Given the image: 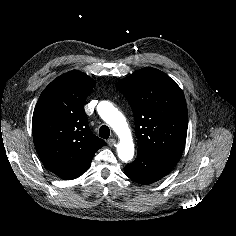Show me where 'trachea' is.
Instances as JSON below:
<instances>
[{"label": "trachea", "instance_id": "obj_1", "mask_svg": "<svg viewBox=\"0 0 236 236\" xmlns=\"http://www.w3.org/2000/svg\"><path fill=\"white\" fill-rule=\"evenodd\" d=\"M99 136L103 139H108L110 136V129L106 125H102L99 129Z\"/></svg>", "mask_w": 236, "mask_h": 236}]
</instances>
